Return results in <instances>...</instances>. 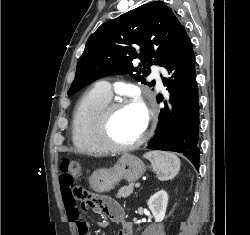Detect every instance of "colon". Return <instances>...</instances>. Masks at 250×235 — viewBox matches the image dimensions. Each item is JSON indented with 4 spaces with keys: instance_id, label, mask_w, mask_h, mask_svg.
<instances>
[{
    "instance_id": "obj_1",
    "label": "colon",
    "mask_w": 250,
    "mask_h": 235,
    "mask_svg": "<svg viewBox=\"0 0 250 235\" xmlns=\"http://www.w3.org/2000/svg\"><path fill=\"white\" fill-rule=\"evenodd\" d=\"M60 169V184L72 189L75 180L82 175V163L78 159H64L59 164ZM73 196L78 200H87L86 193L81 188L72 189ZM87 206L91 207V202L88 201Z\"/></svg>"
}]
</instances>
